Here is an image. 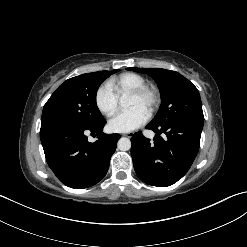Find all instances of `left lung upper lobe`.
Listing matches in <instances>:
<instances>
[{
	"instance_id": "5c2ea615",
	"label": "left lung upper lobe",
	"mask_w": 247,
	"mask_h": 247,
	"mask_svg": "<svg viewBox=\"0 0 247 247\" xmlns=\"http://www.w3.org/2000/svg\"><path fill=\"white\" fill-rule=\"evenodd\" d=\"M127 70L148 74L159 86L162 103L150 124L161 126L176 118L204 122L199 92L184 76L176 71L160 68H127Z\"/></svg>"
}]
</instances>
